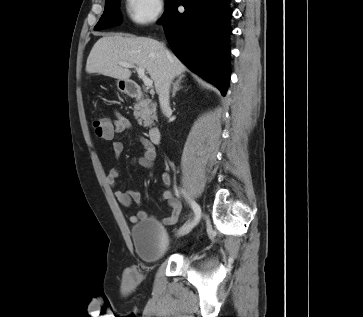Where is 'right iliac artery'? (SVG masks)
<instances>
[{
  "mask_svg": "<svg viewBox=\"0 0 363 317\" xmlns=\"http://www.w3.org/2000/svg\"><path fill=\"white\" fill-rule=\"evenodd\" d=\"M190 204H191V207H192V209H193V211L195 213V223H193V225H192V227H193L194 225H196L198 223V221L200 219L201 209H200L199 205L194 201H190Z\"/></svg>",
  "mask_w": 363,
  "mask_h": 317,
  "instance_id": "1",
  "label": "right iliac artery"
}]
</instances>
